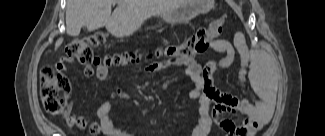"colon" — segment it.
I'll return each mask as SVG.
<instances>
[{"instance_id":"5ec220e1","label":"colon","mask_w":325,"mask_h":136,"mask_svg":"<svg viewBox=\"0 0 325 136\" xmlns=\"http://www.w3.org/2000/svg\"><path fill=\"white\" fill-rule=\"evenodd\" d=\"M223 19L218 18L208 27L199 29L193 36L184 42L171 45L157 55H163L172 60L189 61L197 53L206 50L209 43L221 31ZM107 41L104 32H95L90 35L71 41L65 49V56L71 61L80 64H102L106 67H121L137 64L140 55L137 52L114 53L104 58L96 57L94 49ZM40 96L45 111L52 115L62 114L66 109L67 94L62 89L60 81L52 67H44L40 74Z\"/></svg>"}]
</instances>
